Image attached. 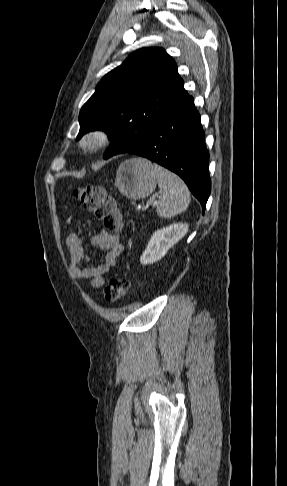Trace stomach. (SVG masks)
<instances>
[{
  "label": "stomach",
  "instance_id": "1",
  "mask_svg": "<svg viewBox=\"0 0 287 486\" xmlns=\"http://www.w3.org/2000/svg\"><path fill=\"white\" fill-rule=\"evenodd\" d=\"M157 179L151 162L137 157L125 160L119 165L115 186L125 197L137 200L148 197L154 191Z\"/></svg>",
  "mask_w": 287,
  "mask_h": 486
}]
</instances>
